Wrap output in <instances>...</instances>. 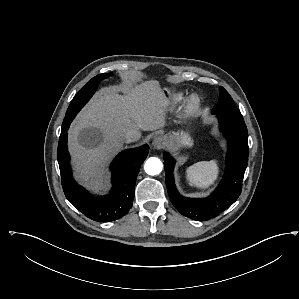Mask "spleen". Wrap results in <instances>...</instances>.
Instances as JSON below:
<instances>
[{
	"label": "spleen",
	"instance_id": "obj_1",
	"mask_svg": "<svg viewBox=\"0 0 299 299\" xmlns=\"http://www.w3.org/2000/svg\"><path fill=\"white\" fill-rule=\"evenodd\" d=\"M191 186L206 189L218 178L219 168L216 160L195 163L186 170Z\"/></svg>",
	"mask_w": 299,
	"mask_h": 299
}]
</instances>
